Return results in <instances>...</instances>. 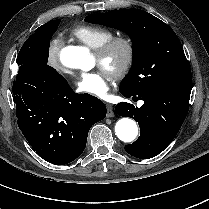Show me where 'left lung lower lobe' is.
Returning a JSON list of instances; mask_svg holds the SVG:
<instances>
[{"label": "left lung lower lobe", "instance_id": "1", "mask_svg": "<svg viewBox=\"0 0 209 209\" xmlns=\"http://www.w3.org/2000/svg\"><path fill=\"white\" fill-rule=\"evenodd\" d=\"M120 92L144 101L140 108L126 102L115 107L118 115L131 117L140 126V137L125 150L140 159L157 156L172 142L186 118L191 84H158L137 93Z\"/></svg>", "mask_w": 209, "mask_h": 209}]
</instances>
